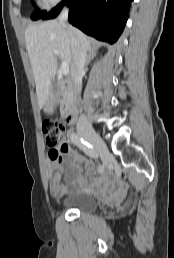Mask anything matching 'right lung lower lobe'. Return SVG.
Listing matches in <instances>:
<instances>
[{
  "mask_svg": "<svg viewBox=\"0 0 174 258\" xmlns=\"http://www.w3.org/2000/svg\"><path fill=\"white\" fill-rule=\"evenodd\" d=\"M132 0H63L42 19L57 17L67 4L69 22L98 40L113 44L122 33Z\"/></svg>",
  "mask_w": 174,
  "mask_h": 258,
  "instance_id": "obj_1",
  "label": "right lung lower lobe"
}]
</instances>
